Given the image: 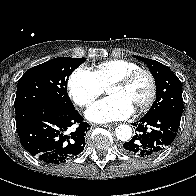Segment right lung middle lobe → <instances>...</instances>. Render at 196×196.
<instances>
[{"label": "right lung middle lobe", "mask_w": 196, "mask_h": 196, "mask_svg": "<svg viewBox=\"0 0 196 196\" xmlns=\"http://www.w3.org/2000/svg\"><path fill=\"white\" fill-rule=\"evenodd\" d=\"M85 60L86 58L58 57L30 68L18 81L15 112L36 103L73 109L74 105L67 94V80Z\"/></svg>", "instance_id": "right-lung-middle-lobe-1"}]
</instances>
